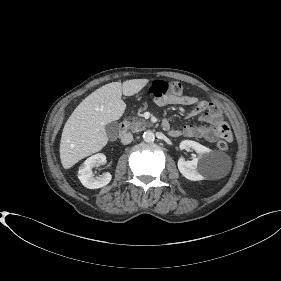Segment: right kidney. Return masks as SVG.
Instances as JSON below:
<instances>
[{"label": "right kidney", "instance_id": "ca27d5eb", "mask_svg": "<svg viewBox=\"0 0 281 281\" xmlns=\"http://www.w3.org/2000/svg\"><path fill=\"white\" fill-rule=\"evenodd\" d=\"M106 162V156L103 153L92 155L85 160L83 165L79 168L78 178L83 186L88 189H98L106 186L112 179L110 173H104L98 177H94L92 168L103 165Z\"/></svg>", "mask_w": 281, "mask_h": 281}]
</instances>
